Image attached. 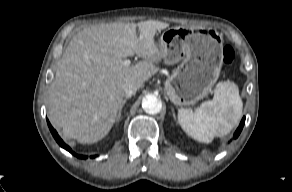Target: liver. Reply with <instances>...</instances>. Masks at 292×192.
Returning <instances> with one entry per match:
<instances>
[{"label":"liver","mask_w":292,"mask_h":192,"mask_svg":"<svg viewBox=\"0 0 292 192\" xmlns=\"http://www.w3.org/2000/svg\"><path fill=\"white\" fill-rule=\"evenodd\" d=\"M167 27L168 23L147 20L92 25L79 31L58 62L51 84V123L62 128L66 138L83 144L104 138L122 107L124 84L131 82L139 89L159 71L163 55L154 37ZM134 54L143 60L125 66L124 59Z\"/></svg>","instance_id":"liver-1"}]
</instances>
